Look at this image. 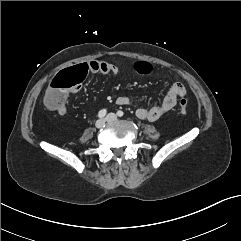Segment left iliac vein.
<instances>
[{
  "mask_svg": "<svg viewBox=\"0 0 241 241\" xmlns=\"http://www.w3.org/2000/svg\"><path fill=\"white\" fill-rule=\"evenodd\" d=\"M117 120V116L114 113H109L106 117L107 122H113Z\"/></svg>",
  "mask_w": 241,
  "mask_h": 241,
  "instance_id": "left-iliac-vein-1",
  "label": "left iliac vein"
}]
</instances>
